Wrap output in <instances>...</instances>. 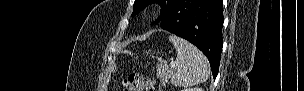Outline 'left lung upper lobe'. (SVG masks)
Listing matches in <instances>:
<instances>
[{
  "instance_id": "left-lung-upper-lobe-1",
  "label": "left lung upper lobe",
  "mask_w": 304,
  "mask_h": 91,
  "mask_svg": "<svg viewBox=\"0 0 304 91\" xmlns=\"http://www.w3.org/2000/svg\"><path fill=\"white\" fill-rule=\"evenodd\" d=\"M176 0H135L132 17L140 12V10L144 9L150 3H158L161 6V15L157 20L161 21L171 10L172 6Z\"/></svg>"
}]
</instances>
